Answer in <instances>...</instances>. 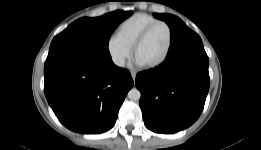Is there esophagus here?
Masks as SVG:
<instances>
[{
    "label": "esophagus",
    "instance_id": "esophagus-1",
    "mask_svg": "<svg viewBox=\"0 0 261 150\" xmlns=\"http://www.w3.org/2000/svg\"><path fill=\"white\" fill-rule=\"evenodd\" d=\"M131 76H132L133 81H135V79H136V72L132 71L131 72Z\"/></svg>",
    "mask_w": 261,
    "mask_h": 150
}]
</instances>
